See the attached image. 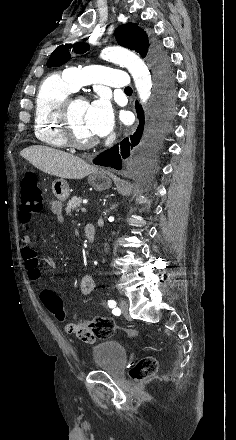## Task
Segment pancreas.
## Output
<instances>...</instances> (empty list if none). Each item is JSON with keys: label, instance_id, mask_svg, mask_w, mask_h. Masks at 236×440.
<instances>
[{"label": "pancreas", "instance_id": "pancreas-1", "mask_svg": "<svg viewBox=\"0 0 236 440\" xmlns=\"http://www.w3.org/2000/svg\"><path fill=\"white\" fill-rule=\"evenodd\" d=\"M82 203V198L81 197H73L70 200H68L67 202V207H66V213L70 214L71 211L77 209L78 207H80Z\"/></svg>", "mask_w": 236, "mask_h": 440}]
</instances>
